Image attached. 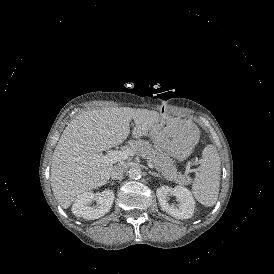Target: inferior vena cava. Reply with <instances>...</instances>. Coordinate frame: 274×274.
Listing matches in <instances>:
<instances>
[{
	"instance_id": "1",
	"label": "inferior vena cava",
	"mask_w": 274,
	"mask_h": 274,
	"mask_svg": "<svg viewBox=\"0 0 274 274\" xmlns=\"http://www.w3.org/2000/svg\"><path fill=\"white\" fill-rule=\"evenodd\" d=\"M126 170L127 168L124 165L122 164L116 165L114 166L112 170L111 176L113 179H120L124 175Z\"/></svg>"
}]
</instances>
